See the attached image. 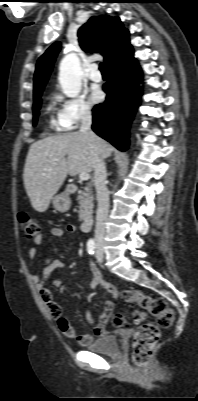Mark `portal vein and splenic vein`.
Here are the masks:
<instances>
[{
    "label": "portal vein and splenic vein",
    "instance_id": "obj_1",
    "mask_svg": "<svg viewBox=\"0 0 198 401\" xmlns=\"http://www.w3.org/2000/svg\"><path fill=\"white\" fill-rule=\"evenodd\" d=\"M79 178H80V180H82V181H87V180L90 178V176H89L88 173L82 172V173L79 174Z\"/></svg>",
    "mask_w": 198,
    "mask_h": 401
}]
</instances>
